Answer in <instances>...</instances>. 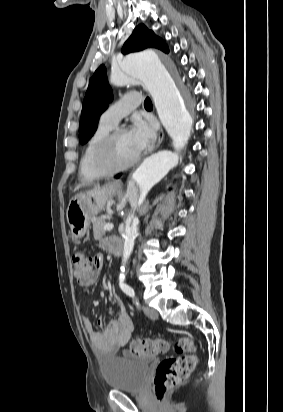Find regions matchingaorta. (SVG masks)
<instances>
[{
  "mask_svg": "<svg viewBox=\"0 0 283 412\" xmlns=\"http://www.w3.org/2000/svg\"><path fill=\"white\" fill-rule=\"evenodd\" d=\"M110 83L115 86L142 83L151 94L160 121L173 140L174 151L163 150L151 155L132 175L131 183L139 188L138 205H141L149 190L178 164L179 152L191 134L192 117L168 62L154 50L126 56L119 63V69L112 72ZM138 224L135 218L123 233L121 273L125 272V265L133 252Z\"/></svg>",
  "mask_w": 283,
  "mask_h": 412,
  "instance_id": "1",
  "label": "aorta"
}]
</instances>
